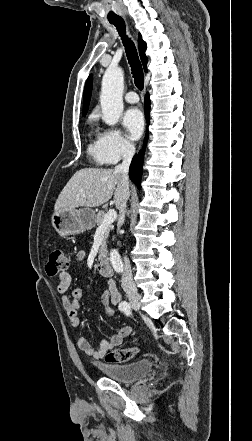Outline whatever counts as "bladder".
Segmentation results:
<instances>
[{
  "label": "bladder",
  "mask_w": 252,
  "mask_h": 441,
  "mask_svg": "<svg viewBox=\"0 0 252 441\" xmlns=\"http://www.w3.org/2000/svg\"><path fill=\"white\" fill-rule=\"evenodd\" d=\"M96 367L109 379L130 383L147 376L152 370V363L144 358L131 363H97Z\"/></svg>",
  "instance_id": "1"
}]
</instances>
